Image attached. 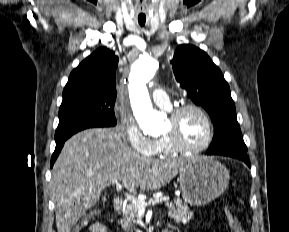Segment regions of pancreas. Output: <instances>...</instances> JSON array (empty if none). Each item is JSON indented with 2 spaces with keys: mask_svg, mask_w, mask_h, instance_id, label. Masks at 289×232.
<instances>
[{
  "mask_svg": "<svg viewBox=\"0 0 289 232\" xmlns=\"http://www.w3.org/2000/svg\"><path fill=\"white\" fill-rule=\"evenodd\" d=\"M168 208V216L173 219L175 223H188L192 217L193 212H191L188 206L180 199L174 200L173 202L166 204ZM123 218L120 221L123 230L128 232H133V223L136 222L138 217V208L134 203L126 206L122 214ZM135 229V228H134Z\"/></svg>",
  "mask_w": 289,
  "mask_h": 232,
  "instance_id": "1",
  "label": "pancreas"
}]
</instances>
